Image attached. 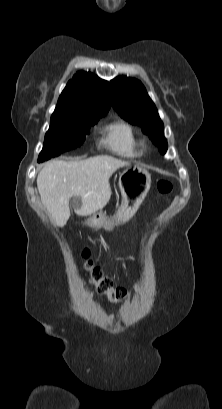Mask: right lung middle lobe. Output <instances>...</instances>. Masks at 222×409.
Segmentation results:
<instances>
[{
    "instance_id": "obj_1",
    "label": "right lung middle lobe",
    "mask_w": 222,
    "mask_h": 409,
    "mask_svg": "<svg viewBox=\"0 0 222 409\" xmlns=\"http://www.w3.org/2000/svg\"><path fill=\"white\" fill-rule=\"evenodd\" d=\"M106 113L107 111L95 109L54 112L38 162H43L82 145L90 126L96 124L99 118Z\"/></svg>"
}]
</instances>
